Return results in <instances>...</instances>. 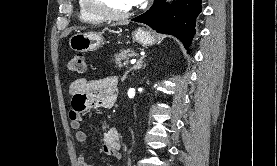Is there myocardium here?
Masks as SVG:
<instances>
[{
  "label": "myocardium",
  "instance_id": "f54148a6",
  "mask_svg": "<svg viewBox=\"0 0 277 166\" xmlns=\"http://www.w3.org/2000/svg\"><path fill=\"white\" fill-rule=\"evenodd\" d=\"M81 4L84 8V10L90 14L91 16L98 18L100 20L105 21H121L129 18L134 13V8H131L130 10L121 13V14H113L106 11H103L97 7H95L91 0H81Z\"/></svg>",
  "mask_w": 277,
  "mask_h": 166
}]
</instances>
